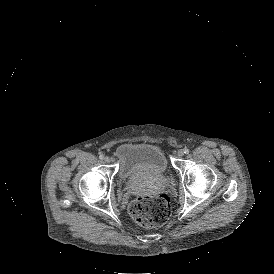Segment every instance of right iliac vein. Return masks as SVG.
I'll return each instance as SVG.
<instances>
[{
  "instance_id": "right-iliac-vein-1",
  "label": "right iliac vein",
  "mask_w": 274,
  "mask_h": 274,
  "mask_svg": "<svg viewBox=\"0 0 274 274\" xmlns=\"http://www.w3.org/2000/svg\"><path fill=\"white\" fill-rule=\"evenodd\" d=\"M104 161H105L106 163H110V162H111V158H110L109 156H106V157L104 158Z\"/></svg>"
}]
</instances>
